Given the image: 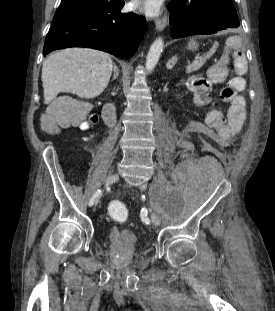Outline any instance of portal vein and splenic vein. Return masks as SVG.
Masks as SVG:
<instances>
[{
    "label": "portal vein and splenic vein",
    "mask_w": 275,
    "mask_h": 311,
    "mask_svg": "<svg viewBox=\"0 0 275 311\" xmlns=\"http://www.w3.org/2000/svg\"><path fill=\"white\" fill-rule=\"evenodd\" d=\"M214 52L213 51H210L208 52L204 58H201L199 61H196L195 64H196V67L199 68L200 66H202L204 64V62L206 61V59L210 58L211 55L213 54Z\"/></svg>",
    "instance_id": "18ae733b"
}]
</instances>
